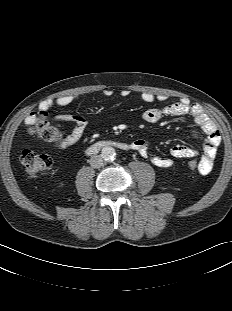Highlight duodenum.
<instances>
[{"instance_id":"duodenum-1","label":"duodenum","mask_w":232,"mask_h":311,"mask_svg":"<svg viewBox=\"0 0 232 311\" xmlns=\"http://www.w3.org/2000/svg\"><path fill=\"white\" fill-rule=\"evenodd\" d=\"M104 148H115L126 151L132 149V146L131 144H127L116 140H101L88 146L86 152L88 154H95L96 152Z\"/></svg>"}]
</instances>
